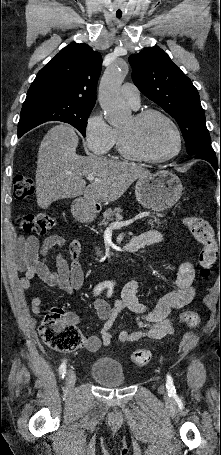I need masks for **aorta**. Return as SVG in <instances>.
<instances>
[{"instance_id": "obj_1", "label": "aorta", "mask_w": 221, "mask_h": 455, "mask_svg": "<svg viewBox=\"0 0 221 455\" xmlns=\"http://www.w3.org/2000/svg\"><path fill=\"white\" fill-rule=\"evenodd\" d=\"M128 73L126 65L109 67L103 74L99 85V101L107 122L112 126L125 123L131 110L120 95V86Z\"/></svg>"}]
</instances>
